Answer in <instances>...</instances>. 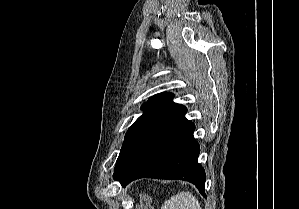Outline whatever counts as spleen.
Listing matches in <instances>:
<instances>
[{
	"mask_svg": "<svg viewBox=\"0 0 299 209\" xmlns=\"http://www.w3.org/2000/svg\"><path fill=\"white\" fill-rule=\"evenodd\" d=\"M161 209H202L197 198L190 192H179L171 196Z\"/></svg>",
	"mask_w": 299,
	"mask_h": 209,
	"instance_id": "spleen-1",
	"label": "spleen"
}]
</instances>
